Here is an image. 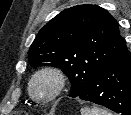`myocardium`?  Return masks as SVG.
Here are the masks:
<instances>
[{"label": "myocardium", "mask_w": 131, "mask_h": 115, "mask_svg": "<svg viewBox=\"0 0 131 115\" xmlns=\"http://www.w3.org/2000/svg\"><path fill=\"white\" fill-rule=\"evenodd\" d=\"M49 76L54 81V89L52 93L46 97L41 98L38 97L34 92V83L40 76ZM66 86V76L63 70L56 66H44L37 71L34 72V74L31 76L29 83H28V91L30 96L43 104H48L54 101L64 90Z\"/></svg>", "instance_id": "myocardium-1"}]
</instances>
